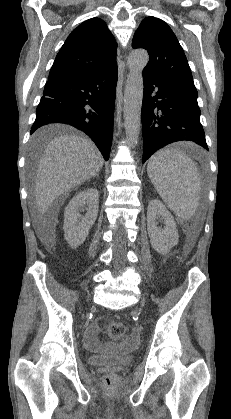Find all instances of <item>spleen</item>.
I'll use <instances>...</instances> for the list:
<instances>
[{
    "label": "spleen",
    "mask_w": 231,
    "mask_h": 419,
    "mask_svg": "<svg viewBox=\"0 0 231 419\" xmlns=\"http://www.w3.org/2000/svg\"><path fill=\"white\" fill-rule=\"evenodd\" d=\"M147 172L166 205L179 218H192L201 191V177L196 164L184 153L165 148L149 159Z\"/></svg>",
    "instance_id": "3e777b00"
}]
</instances>
